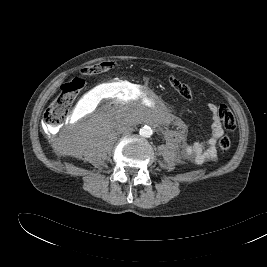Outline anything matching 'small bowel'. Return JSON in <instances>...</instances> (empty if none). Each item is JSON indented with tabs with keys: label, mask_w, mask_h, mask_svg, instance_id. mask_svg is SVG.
Segmentation results:
<instances>
[{
	"label": "small bowel",
	"mask_w": 267,
	"mask_h": 267,
	"mask_svg": "<svg viewBox=\"0 0 267 267\" xmlns=\"http://www.w3.org/2000/svg\"><path fill=\"white\" fill-rule=\"evenodd\" d=\"M207 107L211 115L209 138L205 142L183 144L181 150L185 158L192 160L196 164L214 161L217 158L216 142L224 133V125L219 115V105L209 103Z\"/></svg>",
	"instance_id": "obj_1"
}]
</instances>
